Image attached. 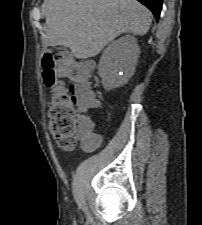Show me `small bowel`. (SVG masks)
Here are the masks:
<instances>
[{"label": "small bowel", "instance_id": "small-bowel-1", "mask_svg": "<svg viewBox=\"0 0 202 225\" xmlns=\"http://www.w3.org/2000/svg\"><path fill=\"white\" fill-rule=\"evenodd\" d=\"M84 65H85V68L87 70H89V69H91L93 67L94 62H92V61H85V64ZM92 93H93V91H92ZM77 101H78V106H79L80 110L83 111V112L90 111V110H93L94 109V107H92L91 102L88 99V97H86L84 95L79 96L78 99H77ZM84 124L86 126H89L91 128H94L93 123L90 122V121H84ZM94 136H96V137L99 138V142L96 144L97 147H100L101 145L104 144V142H105V137L104 136H100L97 133H94Z\"/></svg>", "mask_w": 202, "mask_h": 225}]
</instances>
